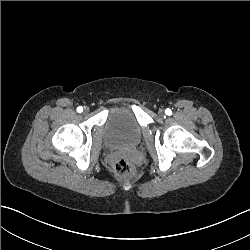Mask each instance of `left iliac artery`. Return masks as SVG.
<instances>
[{
  "mask_svg": "<svg viewBox=\"0 0 250 250\" xmlns=\"http://www.w3.org/2000/svg\"><path fill=\"white\" fill-rule=\"evenodd\" d=\"M165 113H166L167 115H171V114H172V111H171V109L167 108V109L165 110Z\"/></svg>",
  "mask_w": 250,
  "mask_h": 250,
  "instance_id": "1",
  "label": "left iliac artery"
}]
</instances>
